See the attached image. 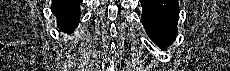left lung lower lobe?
Returning <instances> with one entry per match:
<instances>
[{"label": "left lung lower lobe", "mask_w": 230, "mask_h": 71, "mask_svg": "<svg viewBox=\"0 0 230 71\" xmlns=\"http://www.w3.org/2000/svg\"><path fill=\"white\" fill-rule=\"evenodd\" d=\"M141 22L150 39L160 48L171 45L177 33L178 0H139Z\"/></svg>", "instance_id": "0a47b994"}]
</instances>
